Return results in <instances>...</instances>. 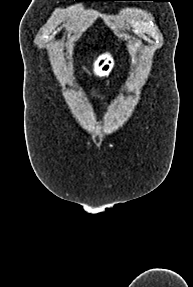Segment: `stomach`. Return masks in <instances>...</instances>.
<instances>
[{
  "label": "stomach",
  "instance_id": "obj_1",
  "mask_svg": "<svg viewBox=\"0 0 193 287\" xmlns=\"http://www.w3.org/2000/svg\"><path fill=\"white\" fill-rule=\"evenodd\" d=\"M115 60L110 53L99 55L93 62V72L98 77H107L112 72Z\"/></svg>",
  "mask_w": 193,
  "mask_h": 287
}]
</instances>
